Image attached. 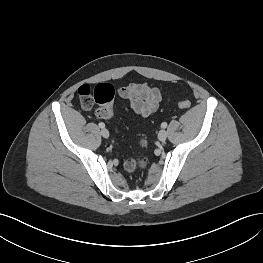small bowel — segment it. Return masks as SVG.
<instances>
[{
    "label": "small bowel",
    "mask_w": 263,
    "mask_h": 263,
    "mask_svg": "<svg viewBox=\"0 0 263 263\" xmlns=\"http://www.w3.org/2000/svg\"><path fill=\"white\" fill-rule=\"evenodd\" d=\"M117 94L120 98L127 100L131 109L142 117L154 114L162 99L158 88L138 82L120 87Z\"/></svg>",
    "instance_id": "small-bowel-1"
}]
</instances>
